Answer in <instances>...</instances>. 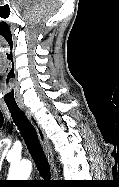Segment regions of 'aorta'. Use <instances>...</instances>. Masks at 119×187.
Returning a JSON list of instances; mask_svg holds the SVG:
<instances>
[{
    "label": "aorta",
    "instance_id": "1",
    "mask_svg": "<svg viewBox=\"0 0 119 187\" xmlns=\"http://www.w3.org/2000/svg\"><path fill=\"white\" fill-rule=\"evenodd\" d=\"M32 170V164L28 160L12 163L9 169V180H27Z\"/></svg>",
    "mask_w": 119,
    "mask_h": 187
}]
</instances>
